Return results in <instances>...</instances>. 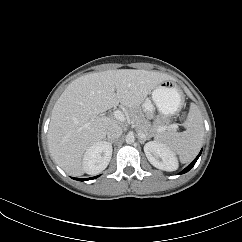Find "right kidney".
Segmentation results:
<instances>
[{
    "label": "right kidney",
    "mask_w": 242,
    "mask_h": 242,
    "mask_svg": "<svg viewBox=\"0 0 242 242\" xmlns=\"http://www.w3.org/2000/svg\"><path fill=\"white\" fill-rule=\"evenodd\" d=\"M112 157L110 142L100 141L90 146L83 155V168L87 174L96 175L102 172Z\"/></svg>",
    "instance_id": "1"
}]
</instances>
